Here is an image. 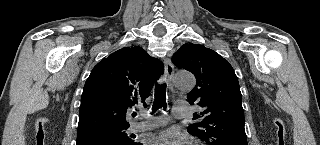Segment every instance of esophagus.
I'll return each mask as SVG.
<instances>
[{"instance_id":"esophagus-1","label":"esophagus","mask_w":320,"mask_h":145,"mask_svg":"<svg viewBox=\"0 0 320 145\" xmlns=\"http://www.w3.org/2000/svg\"><path fill=\"white\" fill-rule=\"evenodd\" d=\"M164 66H165V77L168 80V82H171L172 76L174 74V68L171 61L168 58L164 60Z\"/></svg>"}]
</instances>
